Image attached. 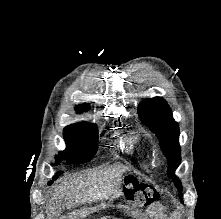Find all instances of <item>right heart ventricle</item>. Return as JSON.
I'll use <instances>...</instances> for the list:
<instances>
[{"label": "right heart ventricle", "instance_id": "1", "mask_svg": "<svg viewBox=\"0 0 221 219\" xmlns=\"http://www.w3.org/2000/svg\"><path fill=\"white\" fill-rule=\"evenodd\" d=\"M122 148L129 151H141L146 153L145 148L142 143V138L139 134H132L125 141L122 142Z\"/></svg>", "mask_w": 221, "mask_h": 219}]
</instances>
